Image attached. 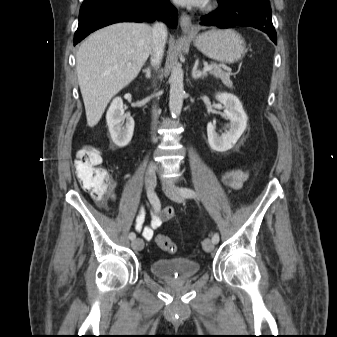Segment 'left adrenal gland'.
<instances>
[{"instance_id":"1","label":"left adrenal gland","mask_w":337,"mask_h":337,"mask_svg":"<svg viewBox=\"0 0 337 337\" xmlns=\"http://www.w3.org/2000/svg\"><path fill=\"white\" fill-rule=\"evenodd\" d=\"M198 68V61L195 63L194 67H193V70H192V78L193 79H199V78H204V77H207L208 74L204 71H200L197 69Z\"/></svg>"}]
</instances>
